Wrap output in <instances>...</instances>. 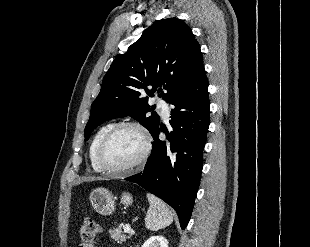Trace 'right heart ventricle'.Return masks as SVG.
<instances>
[{
	"instance_id": "right-heart-ventricle-1",
	"label": "right heart ventricle",
	"mask_w": 310,
	"mask_h": 247,
	"mask_svg": "<svg viewBox=\"0 0 310 247\" xmlns=\"http://www.w3.org/2000/svg\"><path fill=\"white\" fill-rule=\"evenodd\" d=\"M114 123H108L105 124L104 126H102L94 135L90 147H89V159H90V163L92 168L96 171V172H101V168L98 166L97 162H96V151H97V147L101 141V139L103 138V136L114 126Z\"/></svg>"
}]
</instances>
